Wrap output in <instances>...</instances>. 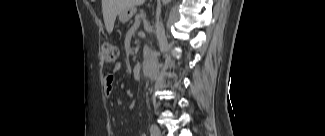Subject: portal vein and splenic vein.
Masks as SVG:
<instances>
[{
	"label": "portal vein and splenic vein",
	"instance_id": "1",
	"mask_svg": "<svg viewBox=\"0 0 325 136\" xmlns=\"http://www.w3.org/2000/svg\"><path fill=\"white\" fill-rule=\"evenodd\" d=\"M139 24H140V20H136L134 25L136 26V25H139Z\"/></svg>",
	"mask_w": 325,
	"mask_h": 136
}]
</instances>
